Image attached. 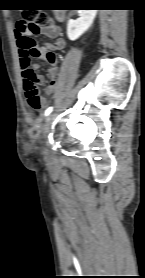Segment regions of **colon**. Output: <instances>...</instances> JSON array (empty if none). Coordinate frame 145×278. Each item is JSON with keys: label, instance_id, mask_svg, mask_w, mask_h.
Segmentation results:
<instances>
[{"label": "colon", "instance_id": "1", "mask_svg": "<svg viewBox=\"0 0 145 278\" xmlns=\"http://www.w3.org/2000/svg\"><path fill=\"white\" fill-rule=\"evenodd\" d=\"M36 9H29L23 14V18L17 22L15 26V32L21 33L25 30L39 31L42 29H50L52 27V21L41 11H35ZM19 52H25L28 57H32L41 53V48L37 45L33 38H25L22 41L21 49ZM46 59L49 62H54L56 59L55 52L53 50H47L44 53ZM30 61L28 66L23 72V85L27 98L28 106L35 111L41 110L44 105V101L40 95L38 85L40 83L37 75L30 69Z\"/></svg>", "mask_w": 145, "mask_h": 278}]
</instances>
